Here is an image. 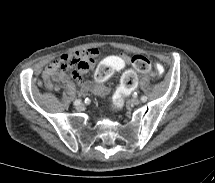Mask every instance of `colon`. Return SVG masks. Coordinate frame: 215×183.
<instances>
[{
  "label": "colon",
  "instance_id": "1",
  "mask_svg": "<svg viewBox=\"0 0 215 183\" xmlns=\"http://www.w3.org/2000/svg\"><path fill=\"white\" fill-rule=\"evenodd\" d=\"M132 64L133 67L138 71V72H148L150 70L151 64L150 61L141 55H136L132 57ZM80 62L75 59H68L65 57H62L60 59V69L65 70L69 67H75L79 66ZM154 69L157 73L162 74L166 71L167 66L164 62L159 61L155 64ZM113 72L109 71L106 67V62L103 63L99 70L97 71L96 78L98 81H105L108 79ZM123 82L126 88H133L137 85V76L135 73L131 71H127L123 75ZM123 105V97L120 94H116L113 99H112V107L114 109H120Z\"/></svg>",
  "mask_w": 215,
  "mask_h": 183
}]
</instances>
